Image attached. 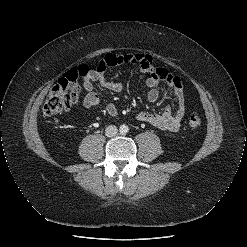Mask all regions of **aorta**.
I'll list each match as a JSON object with an SVG mask.
<instances>
[{
  "label": "aorta",
  "instance_id": "762f6f07",
  "mask_svg": "<svg viewBox=\"0 0 247 247\" xmlns=\"http://www.w3.org/2000/svg\"><path fill=\"white\" fill-rule=\"evenodd\" d=\"M119 131H120L121 134H126V133H128L129 128H128L127 125H121L120 128H119Z\"/></svg>",
  "mask_w": 247,
  "mask_h": 247
}]
</instances>
